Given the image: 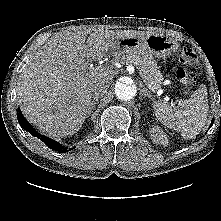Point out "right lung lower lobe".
I'll return each instance as SVG.
<instances>
[{
    "label": "right lung lower lobe",
    "mask_w": 221,
    "mask_h": 221,
    "mask_svg": "<svg viewBox=\"0 0 221 221\" xmlns=\"http://www.w3.org/2000/svg\"><path fill=\"white\" fill-rule=\"evenodd\" d=\"M17 117H18V122L20 123V126L24 130L29 132L32 136L40 138V140L43 141L48 146V148L53 149L58 152H67V151L73 149V148H71V149L67 150V148H65L64 146H62L58 142H56L48 137H45L44 135H40L38 132H36L34 130V128L31 126V124L24 118V116L22 115V112L20 110L17 111Z\"/></svg>",
    "instance_id": "1"
}]
</instances>
